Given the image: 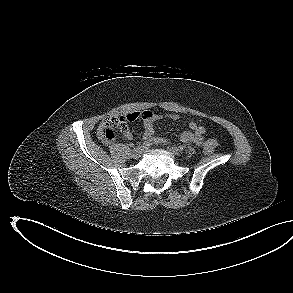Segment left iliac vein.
<instances>
[{
	"label": "left iliac vein",
	"instance_id": "4c4485c4",
	"mask_svg": "<svg viewBox=\"0 0 293 293\" xmlns=\"http://www.w3.org/2000/svg\"><path fill=\"white\" fill-rule=\"evenodd\" d=\"M170 152L172 153V154H174V155H179V149L177 148V147H175V146H173V147H170Z\"/></svg>",
	"mask_w": 293,
	"mask_h": 293
}]
</instances>
